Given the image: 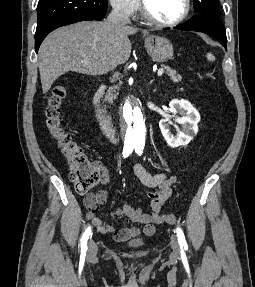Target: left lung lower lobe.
Wrapping results in <instances>:
<instances>
[{
	"instance_id": "left-lung-lower-lobe-1",
	"label": "left lung lower lobe",
	"mask_w": 255,
	"mask_h": 287,
	"mask_svg": "<svg viewBox=\"0 0 255 287\" xmlns=\"http://www.w3.org/2000/svg\"><path fill=\"white\" fill-rule=\"evenodd\" d=\"M178 30L197 31L216 38L227 49L226 30L220 18L211 14H198L187 22L175 27Z\"/></svg>"
}]
</instances>
